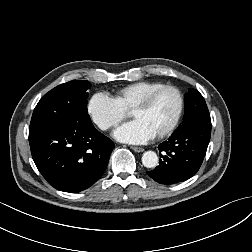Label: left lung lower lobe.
<instances>
[{"label":"left lung lower lobe","instance_id":"1","mask_svg":"<svg viewBox=\"0 0 252 252\" xmlns=\"http://www.w3.org/2000/svg\"><path fill=\"white\" fill-rule=\"evenodd\" d=\"M211 124H193L175 131L158 147L159 166L147 174L161 184H175L195 175L205 157Z\"/></svg>","mask_w":252,"mask_h":252}]
</instances>
